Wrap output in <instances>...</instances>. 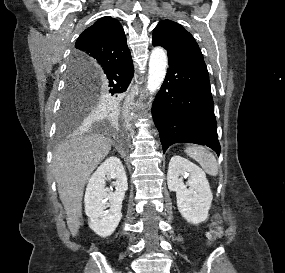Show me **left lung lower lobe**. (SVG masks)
Segmentation results:
<instances>
[{
	"label": "left lung lower lobe",
	"instance_id": "left-lung-lower-lobe-1",
	"mask_svg": "<svg viewBox=\"0 0 285 273\" xmlns=\"http://www.w3.org/2000/svg\"><path fill=\"white\" fill-rule=\"evenodd\" d=\"M152 44L168 52L167 75L152 105L163 152L171 144L188 142L206 145L219 155L221 147L204 60L163 39L153 37Z\"/></svg>",
	"mask_w": 285,
	"mask_h": 273
}]
</instances>
